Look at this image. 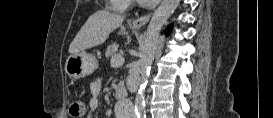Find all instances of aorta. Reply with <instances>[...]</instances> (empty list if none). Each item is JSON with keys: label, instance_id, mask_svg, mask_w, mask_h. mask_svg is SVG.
<instances>
[{"label": "aorta", "instance_id": "aorta-1", "mask_svg": "<svg viewBox=\"0 0 273 118\" xmlns=\"http://www.w3.org/2000/svg\"><path fill=\"white\" fill-rule=\"evenodd\" d=\"M179 2L180 0H163L161 5L154 12L148 25L140 58L141 85L135 100V111L139 115H143L145 111L144 89L158 48L160 31L168 18L178 7Z\"/></svg>", "mask_w": 273, "mask_h": 118}]
</instances>
